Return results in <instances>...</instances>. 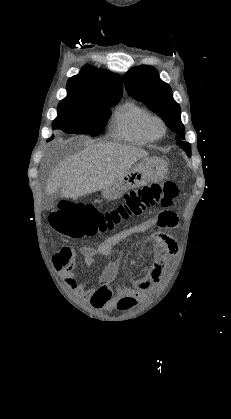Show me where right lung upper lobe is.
Listing matches in <instances>:
<instances>
[{
    "label": "right lung upper lobe",
    "instance_id": "right-lung-upper-lobe-1",
    "mask_svg": "<svg viewBox=\"0 0 231 419\" xmlns=\"http://www.w3.org/2000/svg\"><path fill=\"white\" fill-rule=\"evenodd\" d=\"M119 74L84 66L67 82V97L63 100L102 101L120 99L123 86Z\"/></svg>",
    "mask_w": 231,
    "mask_h": 419
}]
</instances>
